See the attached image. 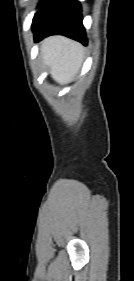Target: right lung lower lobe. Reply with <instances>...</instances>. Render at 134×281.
Instances as JSON below:
<instances>
[{
	"label": "right lung lower lobe",
	"instance_id": "98d812e1",
	"mask_svg": "<svg viewBox=\"0 0 134 281\" xmlns=\"http://www.w3.org/2000/svg\"><path fill=\"white\" fill-rule=\"evenodd\" d=\"M39 7L32 24L35 41L60 34L87 44L77 0H42Z\"/></svg>",
	"mask_w": 134,
	"mask_h": 281
}]
</instances>
